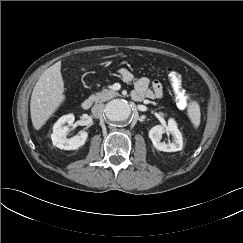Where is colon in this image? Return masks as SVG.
Masks as SVG:
<instances>
[{
    "instance_id": "obj_1",
    "label": "colon",
    "mask_w": 243,
    "mask_h": 243,
    "mask_svg": "<svg viewBox=\"0 0 243 243\" xmlns=\"http://www.w3.org/2000/svg\"><path fill=\"white\" fill-rule=\"evenodd\" d=\"M167 73H168L169 82H170L172 89H173L174 93L176 94L178 100L182 104H186L188 101V96L186 95V93L182 87L181 75L172 68H169L167 70Z\"/></svg>"
}]
</instances>
